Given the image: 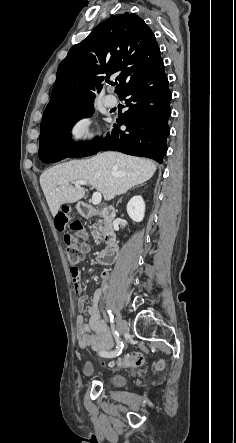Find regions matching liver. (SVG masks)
<instances>
[{"mask_svg":"<svg viewBox=\"0 0 236 443\" xmlns=\"http://www.w3.org/2000/svg\"><path fill=\"white\" fill-rule=\"evenodd\" d=\"M156 168L149 159L120 152H103L89 159L73 160L48 169L40 176V185L55 217L62 204L77 202L85 196L84 188L71 185L76 181L91 184L108 201L148 181Z\"/></svg>","mask_w":236,"mask_h":443,"instance_id":"6515ba94","label":"liver"}]
</instances>
